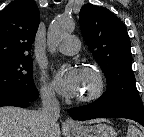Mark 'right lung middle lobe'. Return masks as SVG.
<instances>
[{
    "instance_id": "1",
    "label": "right lung middle lobe",
    "mask_w": 144,
    "mask_h": 137,
    "mask_svg": "<svg viewBox=\"0 0 144 137\" xmlns=\"http://www.w3.org/2000/svg\"><path fill=\"white\" fill-rule=\"evenodd\" d=\"M32 59L20 57L0 63V94H15L27 99L39 97L32 77Z\"/></svg>"
}]
</instances>
